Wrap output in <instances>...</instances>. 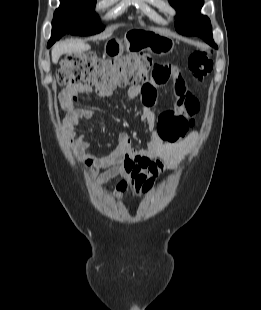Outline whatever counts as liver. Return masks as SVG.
Segmentation results:
<instances>
[{"label":"liver","mask_w":261,"mask_h":310,"mask_svg":"<svg viewBox=\"0 0 261 310\" xmlns=\"http://www.w3.org/2000/svg\"><path fill=\"white\" fill-rule=\"evenodd\" d=\"M104 36L102 38H106ZM89 44L81 40H69L55 45L52 49V62L56 64L63 54L78 53L90 50Z\"/></svg>","instance_id":"6515ba94"}]
</instances>
